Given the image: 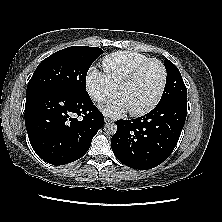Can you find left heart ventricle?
Returning a JSON list of instances; mask_svg holds the SVG:
<instances>
[{
  "instance_id": "b2bd125f",
  "label": "left heart ventricle",
  "mask_w": 222,
  "mask_h": 222,
  "mask_svg": "<svg viewBox=\"0 0 222 222\" xmlns=\"http://www.w3.org/2000/svg\"><path fill=\"white\" fill-rule=\"evenodd\" d=\"M161 81L160 66L155 62L149 63L133 82L121 90L120 95L125 99L129 110L142 108L154 99Z\"/></svg>"
}]
</instances>
